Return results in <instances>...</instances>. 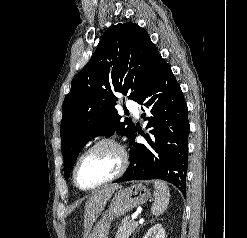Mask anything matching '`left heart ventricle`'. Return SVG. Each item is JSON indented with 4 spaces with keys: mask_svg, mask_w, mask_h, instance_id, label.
I'll return each instance as SVG.
<instances>
[{
    "mask_svg": "<svg viewBox=\"0 0 247 238\" xmlns=\"http://www.w3.org/2000/svg\"><path fill=\"white\" fill-rule=\"evenodd\" d=\"M120 167V156L111 146H101L81 161L77 180L83 187L96 185L113 176Z\"/></svg>",
    "mask_w": 247,
    "mask_h": 238,
    "instance_id": "b2bd125f",
    "label": "left heart ventricle"
}]
</instances>
